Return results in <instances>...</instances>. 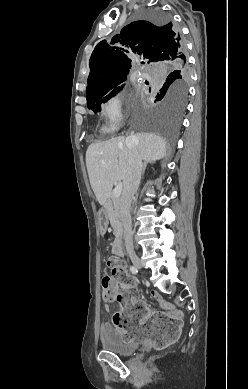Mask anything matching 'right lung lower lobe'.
Returning a JSON list of instances; mask_svg holds the SVG:
<instances>
[{"label":"right lung lower lobe","mask_w":248,"mask_h":389,"mask_svg":"<svg viewBox=\"0 0 248 389\" xmlns=\"http://www.w3.org/2000/svg\"><path fill=\"white\" fill-rule=\"evenodd\" d=\"M177 40H178V41L181 40V37H180V34H179V33H177ZM179 43H180V42H179ZM178 48H179V49H178L179 52H181V49H182L181 43L179 44Z\"/></svg>","instance_id":"right-lung-lower-lobe-1"}]
</instances>
